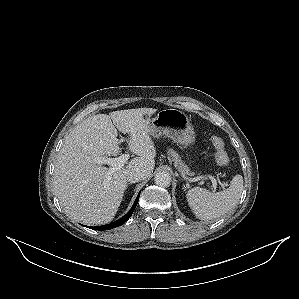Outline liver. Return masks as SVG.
Listing matches in <instances>:
<instances>
[{
  "label": "liver",
  "instance_id": "obj_1",
  "mask_svg": "<svg viewBox=\"0 0 299 299\" xmlns=\"http://www.w3.org/2000/svg\"><path fill=\"white\" fill-rule=\"evenodd\" d=\"M157 110L137 108L97 114L78 124L66 136L58 153L53 188L65 213L86 225L113 220L127 188V175L135 168L151 175L156 148L149 134V118ZM117 130L129 134L128 148L138 157L120 170L97 163L104 156H116L121 148ZM146 176V177H147Z\"/></svg>",
  "mask_w": 299,
  "mask_h": 299
}]
</instances>
